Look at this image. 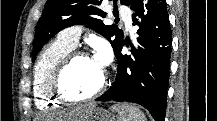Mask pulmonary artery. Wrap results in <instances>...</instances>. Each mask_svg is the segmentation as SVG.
<instances>
[{
    "instance_id": "e3ab8cb5",
    "label": "pulmonary artery",
    "mask_w": 217,
    "mask_h": 121,
    "mask_svg": "<svg viewBox=\"0 0 217 121\" xmlns=\"http://www.w3.org/2000/svg\"><path fill=\"white\" fill-rule=\"evenodd\" d=\"M120 12H121L122 20L124 21V24H125L127 30L132 31L131 14L124 9H121ZM82 31H83L82 26H79V25L71 26V27H68L65 30H63L60 33L59 37L64 42L75 47L78 44V40L80 38Z\"/></svg>"
}]
</instances>
